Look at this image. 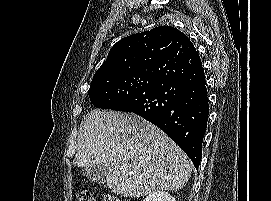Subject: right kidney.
Returning a JSON list of instances; mask_svg holds the SVG:
<instances>
[{
	"instance_id": "right-kidney-1",
	"label": "right kidney",
	"mask_w": 271,
	"mask_h": 201,
	"mask_svg": "<svg viewBox=\"0 0 271 201\" xmlns=\"http://www.w3.org/2000/svg\"><path fill=\"white\" fill-rule=\"evenodd\" d=\"M143 201H176L168 192L158 191L150 194Z\"/></svg>"
}]
</instances>
